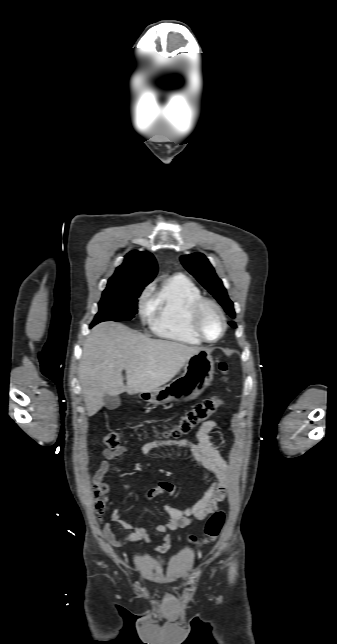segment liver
<instances>
[{"mask_svg": "<svg viewBox=\"0 0 337 644\" xmlns=\"http://www.w3.org/2000/svg\"><path fill=\"white\" fill-rule=\"evenodd\" d=\"M203 348L151 339L116 322L96 325L83 344L79 380L88 416L105 394L152 392L169 382ZM122 370L126 371V385Z\"/></svg>", "mask_w": 337, "mask_h": 644, "instance_id": "6515ba94", "label": "liver"}]
</instances>
